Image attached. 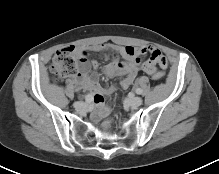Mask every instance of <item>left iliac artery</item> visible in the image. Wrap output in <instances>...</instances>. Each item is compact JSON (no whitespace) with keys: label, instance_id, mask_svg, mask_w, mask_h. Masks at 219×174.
<instances>
[{"label":"left iliac artery","instance_id":"left-iliac-artery-1","mask_svg":"<svg viewBox=\"0 0 219 174\" xmlns=\"http://www.w3.org/2000/svg\"><path fill=\"white\" fill-rule=\"evenodd\" d=\"M136 93H137V94H141V93H142V90H141L140 88H137V89H136Z\"/></svg>","mask_w":219,"mask_h":174}]
</instances>
